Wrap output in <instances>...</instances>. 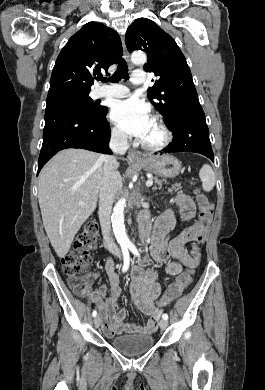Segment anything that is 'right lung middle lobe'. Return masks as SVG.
<instances>
[{
  "label": "right lung middle lobe",
  "instance_id": "right-lung-middle-lobe-1",
  "mask_svg": "<svg viewBox=\"0 0 265 390\" xmlns=\"http://www.w3.org/2000/svg\"><path fill=\"white\" fill-rule=\"evenodd\" d=\"M75 109L91 116H100L106 107L98 105L89 94H72L46 100V110Z\"/></svg>",
  "mask_w": 265,
  "mask_h": 390
}]
</instances>
